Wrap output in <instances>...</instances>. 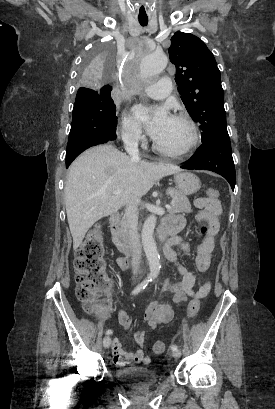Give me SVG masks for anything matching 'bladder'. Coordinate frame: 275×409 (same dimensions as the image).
Returning a JSON list of instances; mask_svg holds the SVG:
<instances>
[{
  "instance_id": "obj_1",
  "label": "bladder",
  "mask_w": 275,
  "mask_h": 409,
  "mask_svg": "<svg viewBox=\"0 0 275 409\" xmlns=\"http://www.w3.org/2000/svg\"><path fill=\"white\" fill-rule=\"evenodd\" d=\"M116 374L118 382L131 383L132 389L154 386L162 379V375L155 373L152 367L126 366L117 368Z\"/></svg>"
}]
</instances>
